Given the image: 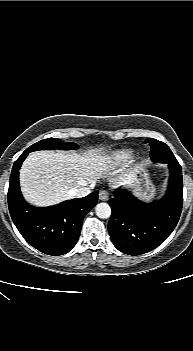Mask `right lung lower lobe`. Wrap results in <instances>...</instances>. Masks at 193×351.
I'll return each instance as SVG.
<instances>
[{
  "label": "right lung lower lobe",
  "instance_id": "right-lung-lower-lobe-1",
  "mask_svg": "<svg viewBox=\"0 0 193 351\" xmlns=\"http://www.w3.org/2000/svg\"><path fill=\"white\" fill-rule=\"evenodd\" d=\"M27 155L23 152L11 172L8 190L10 215L30 245L48 255H63L75 246L83 218L96 205L98 192L47 208L29 205L19 187V169Z\"/></svg>",
  "mask_w": 193,
  "mask_h": 351
}]
</instances>
